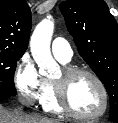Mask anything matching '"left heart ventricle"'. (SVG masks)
Instances as JSON below:
<instances>
[{"label": "left heart ventricle", "mask_w": 118, "mask_h": 123, "mask_svg": "<svg viewBox=\"0 0 118 123\" xmlns=\"http://www.w3.org/2000/svg\"><path fill=\"white\" fill-rule=\"evenodd\" d=\"M63 79L60 72L53 81L60 82ZM67 96L71 106L84 115L98 113L103 104L102 93L92 78L81 75L73 78L67 84Z\"/></svg>", "instance_id": "b2bd125f"}]
</instances>
